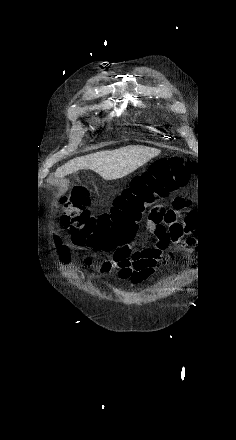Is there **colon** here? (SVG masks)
Returning a JSON list of instances; mask_svg holds the SVG:
<instances>
[{
  "label": "colon",
  "mask_w": 236,
  "mask_h": 440,
  "mask_svg": "<svg viewBox=\"0 0 236 440\" xmlns=\"http://www.w3.org/2000/svg\"><path fill=\"white\" fill-rule=\"evenodd\" d=\"M192 174L184 159L172 157L153 164L136 176L128 189L114 201L109 213L91 215L87 209L90 197L87 188L76 186L61 198L62 226L77 245L111 250L129 243L145 213L171 192L185 186Z\"/></svg>",
  "instance_id": "1"
}]
</instances>
